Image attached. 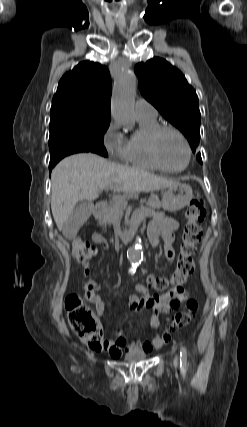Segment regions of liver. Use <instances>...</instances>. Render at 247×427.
<instances>
[{"mask_svg": "<svg viewBox=\"0 0 247 427\" xmlns=\"http://www.w3.org/2000/svg\"><path fill=\"white\" fill-rule=\"evenodd\" d=\"M51 209L58 229L80 200L92 201L104 188L117 192L156 191L176 182L145 170L119 165L92 153L64 158L52 171Z\"/></svg>", "mask_w": 247, "mask_h": 427, "instance_id": "liver-1", "label": "liver"}]
</instances>
